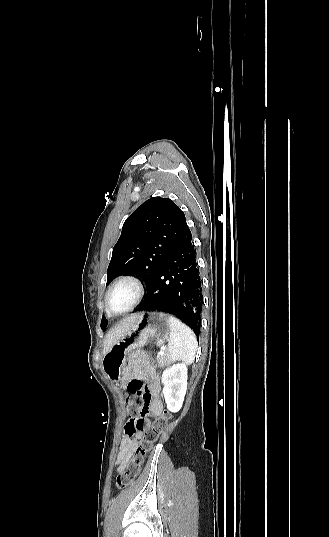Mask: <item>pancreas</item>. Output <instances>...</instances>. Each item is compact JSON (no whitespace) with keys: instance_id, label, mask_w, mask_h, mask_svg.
<instances>
[{"instance_id":"pancreas-1","label":"pancreas","mask_w":329,"mask_h":537,"mask_svg":"<svg viewBox=\"0 0 329 537\" xmlns=\"http://www.w3.org/2000/svg\"><path fill=\"white\" fill-rule=\"evenodd\" d=\"M157 362L161 366H167L171 363L170 357L167 355V353H164L163 355L159 354L157 356Z\"/></svg>"}]
</instances>
